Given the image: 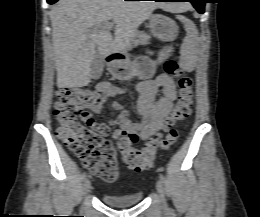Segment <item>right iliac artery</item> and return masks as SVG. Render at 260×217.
<instances>
[{
    "label": "right iliac artery",
    "mask_w": 260,
    "mask_h": 217,
    "mask_svg": "<svg viewBox=\"0 0 260 217\" xmlns=\"http://www.w3.org/2000/svg\"><path fill=\"white\" fill-rule=\"evenodd\" d=\"M86 177H87V175H86V173L84 172L83 174H82V181H85L86 180Z\"/></svg>",
    "instance_id": "82829eb1"
}]
</instances>
